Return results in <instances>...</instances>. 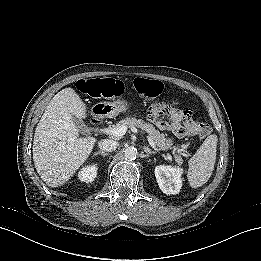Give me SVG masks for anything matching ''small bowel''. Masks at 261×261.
I'll return each instance as SVG.
<instances>
[{"mask_svg": "<svg viewBox=\"0 0 261 261\" xmlns=\"http://www.w3.org/2000/svg\"><path fill=\"white\" fill-rule=\"evenodd\" d=\"M149 118L162 130H171L172 128L170 126V123L151 114V112L149 111ZM193 122V123H192ZM192 122L190 120H185V125L190 127V133L193 132L196 128H194V121L192 120ZM173 132V131H172Z\"/></svg>", "mask_w": 261, "mask_h": 261, "instance_id": "1", "label": "small bowel"}]
</instances>
